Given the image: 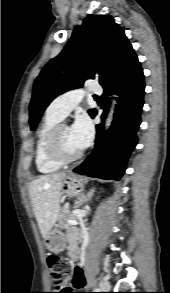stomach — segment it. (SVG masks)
I'll return each instance as SVG.
<instances>
[{"mask_svg": "<svg viewBox=\"0 0 170 293\" xmlns=\"http://www.w3.org/2000/svg\"><path fill=\"white\" fill-rule=\"evenodd\" d=\"M61 190L62 194L68 196L81 195L84 190V180L80 176L69 174L65 176ZM45 246L53 253L62 252L66 247L64 234L58 229L50 230L45 237Z\"/></svg>", "mask_w": 170, "mask_h": 293, "instance_id": "obj_1", "label": "stomach"}]
</instances>
